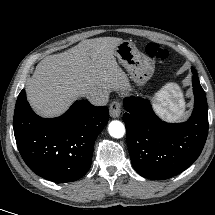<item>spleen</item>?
<instances>
[{"mask_svg":"<svg viewBox=\"0 0 215 215\" xmlns=\"http://www.w3.org/2000/svg\"><path fill=\"white\" fill-rule=\"evenodd\" d=\"M157 100L159 101V104L156 105V108L162 116H165L168 119H173L168 110L177 114L175 119L182 116L184 101L182 94L176 89L174 84H167L164 89L158 93Z\"/></svg>","mask_w":215,"mask_h":215,"instance_id":"3e777b00","label":"spleen"}]
</instances>
